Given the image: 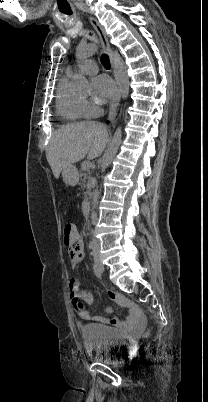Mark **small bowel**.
<instances>
[{"mask_svg":"<svg viewBox=\"0 0 208 402\" xmlns=\"http://www.w3.org/2000/svg\"><path fill=\"white\" fill-rule=\"evenodd\" d=\"M75 237L79 238L78 244L73 247H68L67 248V253L71 254V261L70 264L71 266H75L79 263V261L83 257V243L81 242L80 238L82 237V232L81 231H76L75 232ZM68 295L73 298L74 296H79L81 297L84 301L87 303H92L93 302V296L89 293L82 292L79 288V282L76 278H71L68 282ZM107 296L110 301H117L118 304L123 305L129 309L132 308V304L129 303L127 300H125V295L121 292H116L114 289H109L107 291ZM82 318H84V321L87 324H92L94 321L96 324H103L104 322H110L111 324H119L120 320L119 319H111L108 320L104 318L103 315H96L95 317L92 316L88 311H86L84 314H80ZM123 321L126 324V327L130 330H138L140 327V324H145L147 321V318L145 315H143V312L141 309H134L132 312V315L125 316L123 318Z\"/></svg>","mask_w":208,"mask_h":402,"instance_id":"1","label":"small bowel"}]
</instances>
